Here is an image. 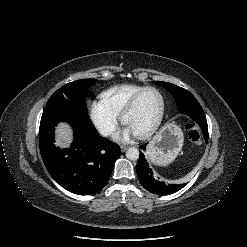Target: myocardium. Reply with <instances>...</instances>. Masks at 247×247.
I'll use <instances>...</instances> for the list:
<instances>
[{
	"mask_svg": "<svg viewBox=\"0 0 247 247\" xmlns=\"http://www.w3.org/2000/svg\"><path fill=\"white\" fill-rule=\"evenodd\" d=\"M148 91H154L156 92L160 99H161V110L159 113L158 118L156 119V121L145 131L141 132V133H137L136 136L141 138V139H145L148 138L149 136H151L161 125L164 115H165V110H166V101H165V97L163 95V93L155 88V87H145L142 90H140L139 92H137L132 98L131 100L127 103V105L124 107L123 111L121 112V121L122 123L125 124V119L127 117V115L133 111V109L135 108V106L137 105L139 99L141 98V96L148 92Z\"/></svg>",
	"mask_w": 247,
	"mask_h": 247,
	"instance_id": "obj_1",
	"label": "myocardium"
}]
</instances>
